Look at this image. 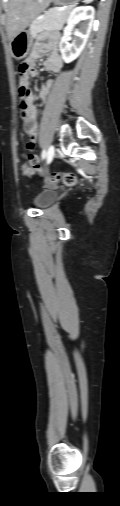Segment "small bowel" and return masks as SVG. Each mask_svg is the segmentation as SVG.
Returning a JSON list of instances; mask_svg holds the SVG:
<instances>
[{
    "label": "small bowel",
    "instance_id": "c3829d8e",
    "mask_svg": "<svg viewBox=\"0 0 120 506\" xmlns=\"http://www.w3.org/2000/svg\"><path fill=\"white\" fill-rule=\"evenodd\" d=\"M41 56H46L43 63V68L46 71L55 73H59L61 71L63 63L60 55L58 54L57 35H44L38 42H36L30 55L24 62L27 65V71L20 73L19 85L29 91L28 96L23 101L21 112L24 118L25 130L31 136L32 140H35L38 134V109L34 103V95L29 77H35L37 75L36 61ZM53 83L54 81L52 79H47L42 85L39 97L43 102L47 100Z\"/></svg>",
    "mask_w": 120,
    "mask_h": 506
}]
</instances>
